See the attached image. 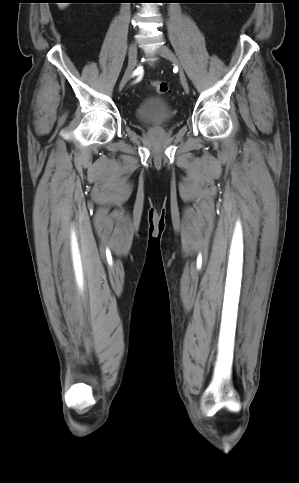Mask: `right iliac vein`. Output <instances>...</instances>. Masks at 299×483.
Masks as SVG:
<instances>
[{
  "mask_svg": "<svg viewBox=\"0 0 299 483\" xmlns=\"http://www.w3.org/2000/svg\"><path fill=\"white\" fill-rule=\"evenodd\" d=\"M136 60H137V47L135 43H131L128 48V66L120 82V85H119L120 90L123 89V87L129 81L132 75V72L136 67Z\"/></svg>",
  "mask_w": 299,
  "mask_h": 483,
  "instance_id": "right-iliac-vein-1",
  "label": "right iliac vein"
}]
</instances>
